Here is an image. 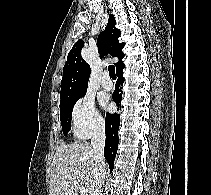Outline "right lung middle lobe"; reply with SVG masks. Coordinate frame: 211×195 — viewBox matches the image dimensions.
Masks as SVG:
<instances>
[{"label": "right lung middle lobe", "instance_id": "1", "mask_svg": "<svg viewBox=\"0 0 211 195\" xmlns=\"http://www.w3.org/2000/svg\"><path fill=\"white\" fill-rule=\"evenodd\" d=\"M79 98L60 103V120L64 135H66L71 128L73 106Z\"/></svg>", "mask_w": 211, "mask_h": 195}]
</instances>
